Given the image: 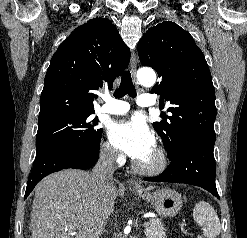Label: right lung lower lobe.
<instances>
[{
  "mask_svg": "<svg viewBox=\"0 0 247 238\" xmlns=\"http://www.w3.org/2000/svg\"><path fill=\"white\" fill-rule=\"evenodd\" d=\"M99 146L100 141L92 149L60 147L36 157L28 179L24 199L28 197L41 179L53 172L68 168L88 169L92 167L98 160Z\"/></svg>",
  "mask_w": 247,
  "mask_h": 238,
  "instance_id": "1",
  "label": "right lung lower lobe"
}]
</instances>
